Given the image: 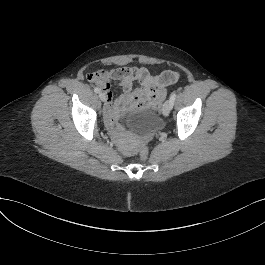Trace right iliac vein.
<instances>
[{
  "instance_id": "1",
  "label": "right iliac vein",
  "mask_w": 265,
  "mask_h": 265,
  "mask_svg": "<svg viewBox=\"0 0 265 265\" xmlns=\"http://www.w3.org/2000/svg\"><path fill=\"white\" fill-rule=\"evenodd\" d=\"M99 98H100V100L103 101V102L106 101V96H105L104 93H100V94H99Z\"/></svg>"
}]
</instances>
